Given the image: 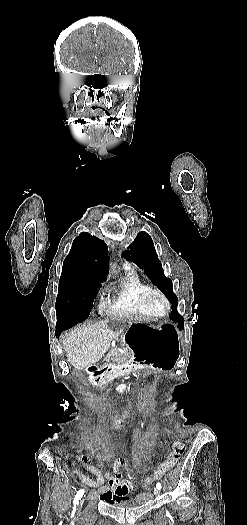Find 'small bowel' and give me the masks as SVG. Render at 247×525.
I'll list each match as a JSON object with an SVG mask.
<instances>
[{
  "label": "small bowel",
  "mask_w": 247,
  "mask_h": 525,
  "mask_svg": "<svg viewBox=\"0 0 247 525\" xmlns=\"http://www.w3.org/2000/svg\"><path fill=\"white\" fill-rule=\"evenodd\" d=\"M183 450V444L177 443L174 451L168 456L167 460L160 464L151 476L146 478L145 483L150 484L153 481L160 479L177 463ZM92 457L97 460L99 459L96 449L93 451ZM78 460L85 464L88 470L95 474L96 478L91 479L90 477L81 473L78 469L75 470L76 475L84 484L98 488L99 492L101 493V498L107 502L108 506H124L126 504L125 494H127V491H125V484L121 482L122 475L120 472V467L127 465V461L123 459L117 460L114 465V472L110 473L102 472L97 467L88 464V457L81 453L78 455ZM135 479V474L130 472L128 475V481L132 483L135 481ZM106 483H108L109 487L105 485Z\"/></svg>",
  "instance_id": "c3829d8e"
}]
</instances>
